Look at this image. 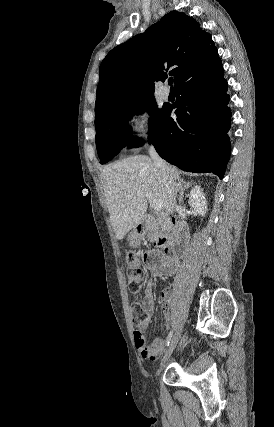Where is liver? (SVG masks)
<instances>
[{"label": "liver", "mask_w": 274, "mask_h": 427, "mask_svg": "<svg viewBox=\"0 0 274 427\" xmlns=\"http://www.w3.org/2000/svg\"><path fill=\"white\" fill-rule=\"evenodd\" d=\"M104 196L117 239L142 223L148 206L146 196L161 200L166 214H173L172 198L183 184L173 166L160 170L148 156H129L109 164L101 172Z\"/></svg>", "instance_id": "1"}]
</instances>
